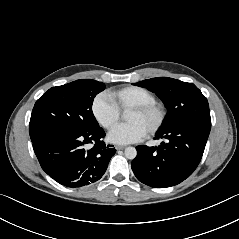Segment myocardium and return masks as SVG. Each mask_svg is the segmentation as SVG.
<instances>
[{
	"instance_id": "1",
	"label": "myocardium",
	"mask_w": 239,
	"mask_h": 239,
	"mask_svg": "<svg viewBox=\"0 0 239 239\" xmlns=\"http://www.w3.org/2000/svg\"><path fill=\"white\" fill-rule=\"evenodd\" d=\"M129 111L142 113V114H154L155 122L153 126L148 130L149 135H154L163 126L166 119L165 108L159 103H149L132 107Z\"/></svg>"
}]
</instances>
